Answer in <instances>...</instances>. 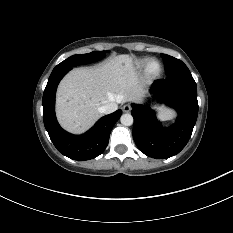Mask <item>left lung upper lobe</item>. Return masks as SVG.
Wrapping results in <instances>:
<instances>
[{
  "label": "left lung upper lobe",
  "instance_id": "obj_1",
  "mask_svg": "<svg viewBox=\"0 0 233 233\" xmlns=\"http://www.w3.org/2000/svg\"><path fill=\"white\" fill-rule=\"evenodd\" d=\"M165 64V73L167 77L191 76L187 66L179 59L172 56L161 54Z\"/></svg>",
  "mask_w": 233,
  "mask_h": 233
}]
</instances>
